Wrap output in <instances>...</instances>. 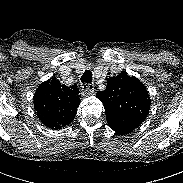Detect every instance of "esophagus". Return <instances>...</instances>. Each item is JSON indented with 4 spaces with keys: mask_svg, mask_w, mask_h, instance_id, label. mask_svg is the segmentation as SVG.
I'll use <instances>...</instances> for the list:
<instances>
[{
    "mask_svg": "<svg viewBox=\"0 0 183 183\" xmlns=\"http://www.w3.org/2000/svg\"><path fill=\"white\" fill-rule=\"evenodd\" d=\"M93 92H94L93 86L88 84V85H86V88L82 90V96L88 97V96L92 95Z\"/></svg>",
    "mask_w": 183,
    "mask_h": 183,
    "instance_id": "1",
    "label": "esophagus"
}]
</instances>
